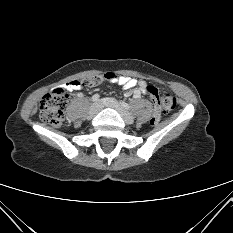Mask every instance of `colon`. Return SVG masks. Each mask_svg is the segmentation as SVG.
Listing matches in <instances>:
<instances>
[{
    "instance_id": "1",
    "label": "colon",
    "mask_w": 233,
    "mask_h": 233,
    "mask_svg": "<svg viewBox=\"0 0 233 233\" xmlns=\"http://www.w3.org/2000/svg\"><path fill=\"white\" fill-rule=\"evenodd\" d=\"M105 74V73H104ZM104 74H97L78 80L86 87H95L105 82L103 80ZM147 91L153 95L155 104V113L150 120L151 125H156L161 114H166L172 111L176 105L175 97L168 91L158 90L156 87L148 85ZM68 93L67 90L57 88L45 95L40 103V117L41 119L54 126L63 127L66 125L64 117V109L67 104Z\"/></svg>"
}]
</instances>
